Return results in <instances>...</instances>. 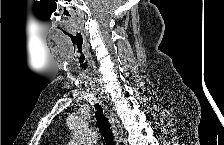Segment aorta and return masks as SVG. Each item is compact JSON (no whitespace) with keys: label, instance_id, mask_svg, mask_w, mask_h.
<instances>
[{"label":"aorta","instance_id":"1","mask_svg":"<svg viewBox=\"0 0 224 145\" xmlns=\"http://www.w3.org/2000/svg\"><path fill=\"white\" fill-rule=\"evenodd\" d=\"M96 142V134L87 127L78 128L72 138L73 145H93Z\"/></svg>","mask_w":224,"mask_h":145}]
</instances>
